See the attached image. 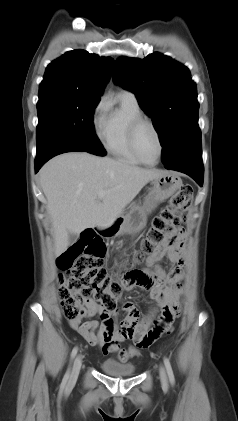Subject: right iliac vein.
Segmentation results:
<instances>
[{
    "instance_id": "right-iliac-vein-1",
    "label": "right iliac vein",
    "mask_w": 238,
    "mask_h": 421,
    "mask_svg": "<svg viewBox=\"0 0 238 421\" xmlns=\"http://www.w3.org/2000/svg\"><path fill=\"white\" fill-rule=\"evenodd\" d=\"M81 365H82V356L78 355L74 360L69 382L72 383L77 379L78 374H79L80 369H81Z\"/></svg>"
}]
</instances>
